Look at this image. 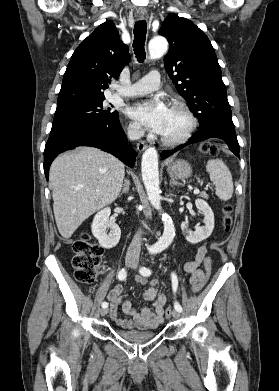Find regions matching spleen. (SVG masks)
Here are the masks:
<instances>
[{
    "instance_id": "spleen-1",
    "label": "spleen",
    "mask_w": 279,
    "mask_h": 391,
    "mask_svg": "<svg viewBox=\"0 0 279 391\" xmlns=\"http://www.w3.org/2000/svg\"><path fill=\"white\" fill-rule=\"evenodd\" d=\"M210 180L216 188V195L220 200L227 201L233 195L232 175L225 163L220 159H211L206 164Z\"/></svg>"
}]
</instances>
